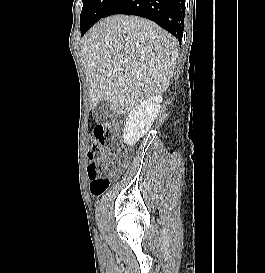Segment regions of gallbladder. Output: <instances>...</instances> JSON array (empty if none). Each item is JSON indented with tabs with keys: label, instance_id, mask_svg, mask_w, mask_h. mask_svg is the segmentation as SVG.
<instances>
[{
	"label": "gallbladder",
	"instance_id": "gallbladder-1",
	"mask_svg": "<svg viewBox=\"0 0 265 273\" xmlns=\"http://www.w3.org/2000/svg\"><path fill=\"white\" fill-rule=\"evenodd\" d=\"M92 114L97 123H107L117 117L106 100L100 101L93 109Z\"/></svg>",
	"mask_w": 265,
	"mask_h": 273
}]
</instances>
